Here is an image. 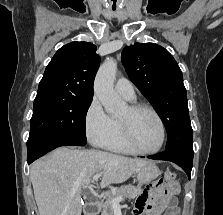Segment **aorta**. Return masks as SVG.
I'll list each match as a JSON object with an SVG mask.
<instances>
[{"mask_svg":"<svg viewBox=\"0 0 223 215\" xmlns=\"http://www.w3.org/2000/svg\"><path fill=\"white\" fill-rule=\"evenodd\" d=\"M117 72V62L112 58H106L101 64L94 82V92L103 104L105 111L110 115H119L125 102L120 100L114 92V82Z\"/></svg>","mask_w":223,"mask_h":215,"instance_id":"762f6f07","label":"aorta"}]
</instances>
